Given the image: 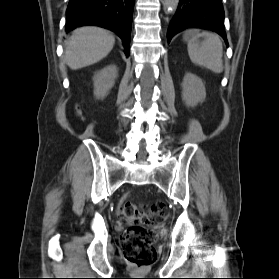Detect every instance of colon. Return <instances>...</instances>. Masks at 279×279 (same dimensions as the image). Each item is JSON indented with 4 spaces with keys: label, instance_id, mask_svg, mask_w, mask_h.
I'll return each mask as SVG.
<instances>
[{
    "label": "colon",
    "instance_id": "colon-1",
    "mask_svg": "<svg viewBox=\"0 0 279 279\" xmlns=\"http://www.w3.org/2000/svg\"><path fill=\"white\" fill-rule=\"evenodd\" d=\"M119 213L128 224L120 237L124 258L132 265L143 267L153 264L157 259L155 243L157 233L146 226L153 223L162 214L160 204L148 207L124 201L119 205Z\"/></svg>",
    "mask_w": 279,
    "mask_h": 279
}]
</instances>
